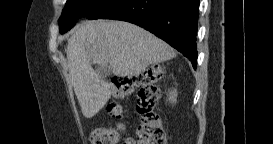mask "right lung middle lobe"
<instances>
[{"label": "right lung middle lobe", "instance_id": "1", "mask_svg": "<svg viewBox=\"0 0 273 144\" xmlns=\"http://www.w3.org/2000/svg\"><path fill=\"white\" fill-rule=\"evenodd\" d=\"M108 1L109 0H67L58 21L60 32L65 33L75 25L77 19L91 16Z\"/></svg>", "mask_w": 273, "mask_h": 144}]
</instances>
